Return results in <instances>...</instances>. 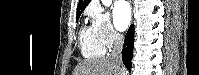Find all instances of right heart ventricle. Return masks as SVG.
<instances>
[{
	"instance_id": "1",
	"label": "right heart ventricle",
	"mask_w": 199,
	"mask_h": 75,
	"mask_svg": "<svg viewBox=\"0 0 199 75\" xmlns=\"http://www.w3.org/2000/svg\"><path fill=\"white\" fill-rule=\"evenodd\" d=\"M82 54L87 58H98L105 54L106 48L100 42L93 25H86L80 32Z\"/></svg>"
}]
</instances>
